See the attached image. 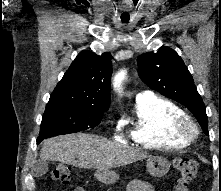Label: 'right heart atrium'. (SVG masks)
Instances as JSON below:
<instances>
[{
    "mask_svg": "<svg viewBox=\"0 0 221 191\" xmlns=\"http://www.w3.org/2000/svg\"><path fill=\"white\" fill-rule=\"evenodd\" d=\"M116 131H117V133H119V132L121 131L120 125H118V126L116 127Z\"/></svg>",
    "mask_w": 221,
    "mask_h": 191,
    "instance_id": "right-heart-atrium-1",
    "label": "right heart atrium"
}]
</instances>
